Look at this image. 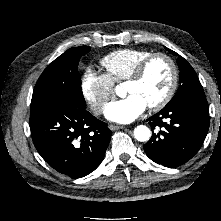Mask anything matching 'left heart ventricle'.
<instances>
[{"label": "left heart ventricle", "instance_id": "b2bd125f", "mask_svg": "<svg viewBox=\"0 0 221 221\" xmlns=\"http://www.w3.org/2000/svg\"><path fill=\"white\" fill-rule=\"evenodd\" d=\"M171 76L168 62L163 58H156L148 65L141 80L125 84V92L139 96L147 106L152 105L167 92Z\"/></svg>", "mask_w": 221, "mask_h": 221}]
</instances>
